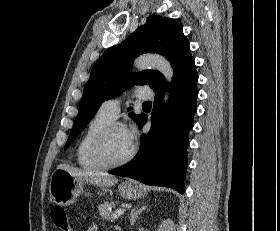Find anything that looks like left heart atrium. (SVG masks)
I'll return each mask as SVG.
<instances>
[{
  "label": "left heart atrium",
  "instance_id": "39dd6f15",
  "mask_svg": "<svg viewBox=\"0 0 280 231\" xmlns=\"http://www.w3.org/2000/svg\"><path fill=\"white\" fill-rule=\"evenodd\" d=\"M122 128L124 141L130 148H132L137 137V130L134 126H124Z\"/></svg>",
  "mask_w": 280,
  "mask_h": 231
}]
</instances>
